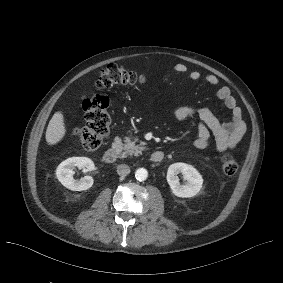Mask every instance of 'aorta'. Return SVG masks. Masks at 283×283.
Listing matches in <instances>:
<instances>
[{
  "instance_id": "obj_1",
  "label": "aorta",
  "mask_w": 283,
  "mask_h": 283,
  "mask_svg": "<svg viewBox=\"0 0 283 283\" xmlns=\"http://www.w3.org/2000/svg\"><path fill=\"white\" fill-rule=\"evenodd\" d=\"M148 177V172L145 168H139L136 170L135 172V178L138 180V181H144L146 180Z\"/></svg>"
}]
</instances>
